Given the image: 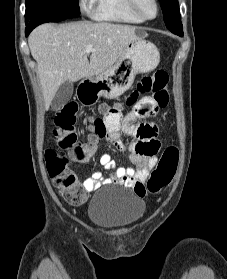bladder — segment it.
Segmentation results:
<instances>
[{
    "mask_svg": "<svg viewBox=\"0 0 227 279\" xmlns=\"http://www.w3.org/2000/svg\"><path fill=\"white\" fill-rule=\"evenodd\" d=\"M145 210L144 202L125 187H110L93 196L89 220L107 230H124L135 225Z\"/></svg>",
    "mask_w": 227,
    "mask_h": 279,
    "instance_id": "1",
    "label": "bladder"
}]
</instances>
